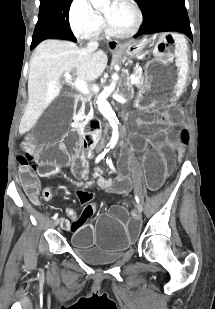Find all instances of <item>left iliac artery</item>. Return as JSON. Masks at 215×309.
Returning a JSON list of instances; mask_svg holds the SVG:
<instances>
[{"label": "left iliac artery", "instance_id": "1", "mask_svg": "<svg viewBox=\"0 0 215 309\" xmlns=\"http://www.w3.org/2000/svg\"><path fill=\"white\" fill-rule=\"evenodd\" d=\"M106 162H107V164L109 165V167L111 168V170L114 171V172H116L115 167H114V165H113V163H112L111 158H107ZM135 200H136V202H137V204H138L137 206H138V207L140 208V210L142 211V205H141V202H140V199H139L138 195H135Z\"/></svg>", "mask_w": 215, "mask_h": 309}]
</instances>
